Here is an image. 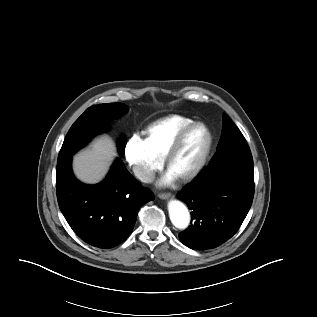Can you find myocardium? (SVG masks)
<instances>
[{
    "mask_svg": "<svg viewBox=\"0 0 317 317\" xmlns=\"http://www.w3.org/2000/svg\"><path fill=\"white\" fill-rule=\"evenodd\" d=\"M197 127H201L205 131L206 137H207L206 145L197 164L188 173L177 177L179 181L184 183L190 182L193 179H195L201 173V171L204 169L205 165L207 164V161L209 159V156L212 150V145H213V136L209 127L205 123L200 121H193L187 126H185L183 129L179 131V133L174 138L164 158L165 165L169 169L171 162L173 158L176 156V154L178 153L180 147L182 146L184 139L194 128H197Z\"/></svg>",
    "mask_w": 317,
    "mask_h": 317,
    "instance_id": "1",
    "label": "myocardium"
}]
</instances>
